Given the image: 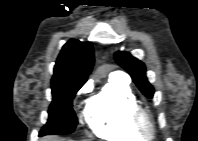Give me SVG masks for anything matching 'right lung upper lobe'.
Here are the masks:
<instances>
[{"mask_svg":"<svg viewBox=\"0 0 198 141\" xmlns=\"http://www.w3.org/2000/svg\"><path fill=\"white\" fill-rule=\"evenodd\" d=\"M93 64L92 44L71 39L63 46L58 56L54 67L52 83H85Z\"/></svg>","mask_w":198,"mask_h":141,"instance_id":"obj_1","label":"right lung upper lobe"}]
</instances>
